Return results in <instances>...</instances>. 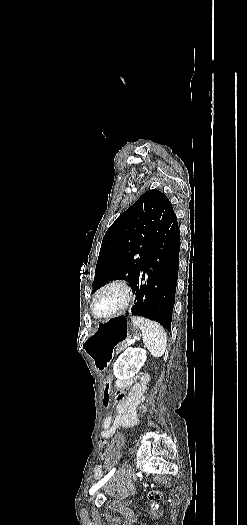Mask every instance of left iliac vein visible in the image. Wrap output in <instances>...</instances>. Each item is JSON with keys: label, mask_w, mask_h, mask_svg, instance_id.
Masks as SVG:
<instances>
[{"label": "left iliac vein", "mask_w": 247, "mask_h": 525, "mask_svg": "<svg viewBox=\"0 0 247 525\" xmlns=\"http://www.w3.org/2000/svg\"><path fill=\"white\" fill-rule=\"evenodd\" d=\"M97 493H98V491H96V492L92 495L91 500L94 499V498L96 497V494H97Z\"/></svg>", "instance_id": "left-iliac-vein-1"}]
</instances>
